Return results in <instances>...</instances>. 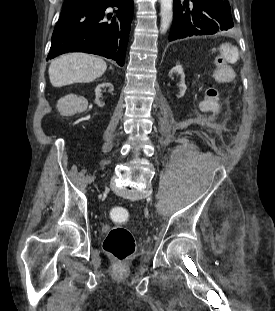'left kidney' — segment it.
Masks as SVG:
<instances>
[{
	"label": "left kidney",
	"mask_w": 275,
	"mask_h": 311,
	"mask_svg": "<svg viewBox=\"0 0 275 311\" xmlns=\"http://www.w3.org/2000/svg\"><path fill=\"white\" fill-rule=\"evenodd\" d=\"M181 77H179V75ZM169 80H174V89H180L178 98H181L184 96L185 91H186V85H185V75L183 72V69L180 65H177L175 67H173L168 75Z\"/></svg>",
	"instance_id": "5707ae66"
}]
</instances>
